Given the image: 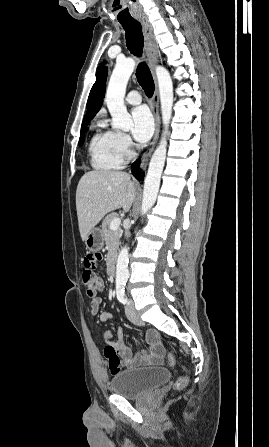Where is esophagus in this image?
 <instances>
[{
	"label": "esophagus",
	"instance_id": "34e87169",
	"mask_svg": "<svg viewBox=\"0 0 269 447\" xmlns=\"http://www.w3.org/2000/svg\"><path fill=\"white\" fill-rule=\"evenodd\" d=\"M138 20L142 26L143 31V37H144V48L146 55L148 57L149 63H150V71L154 80V95H153V104L151 107L152 113L154 115L155 119V132L152 139V142L149 146V148L144 153L142 159L140 168L144 171L148 164V159L151 155V153L154 150L155 145L157 144L159 133H160V126H161V119L159 114V90H158V83L157 78L155 74V65L158 62L159 57V51L155 42V37L153 35L152 27L150 25V22L146 15H140L138 17Z\"/></svg>",
	"mask_w": 269,
	"mask_h": 447
}]
</instances>
